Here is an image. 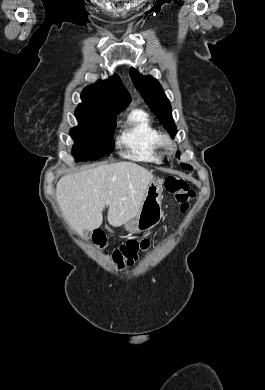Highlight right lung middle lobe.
Returning <instances> with one entry per match:
<instances>
[{
    "label": "right lung middle lobe",
    "mask_w": 265,
    "mask_h": 390,
    "mask_svg": "<svg viewBox=\"0 0 265 390\" xmlns=\"http://www.w3.org/2000/svg\"><path fill=\"white\" fill-rule=\"evenodd\" d=\"M78 126L70 131L74 140L72 153L77 161L96 160L114 149L112 135L116 127L115 115L97 110L77 108Z\"/></svg>",
    "instance_id": "right-lung-middle-lobe-1"
}]
</instances>
